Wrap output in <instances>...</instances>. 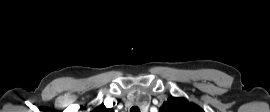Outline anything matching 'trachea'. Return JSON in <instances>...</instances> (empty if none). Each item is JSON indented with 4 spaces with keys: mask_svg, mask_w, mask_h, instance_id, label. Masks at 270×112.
Wrapping results in <instances>:
<instances>
[{
    "mask_svg": "<svg viewBox=\"0 0 270 112\" xmlns=\"http://www.w3.org/2000/svg\"><path fill=\"white\" fill-rule=\"evenodd\" d=\"M130 112H140V109L137 106H133L131 107Z\"/></svg>",
    "mask_w": 270,
    "mask_h": 112,
    "instance_id": "trachea-1",
    "label": "trachea"
}]
</instances>
